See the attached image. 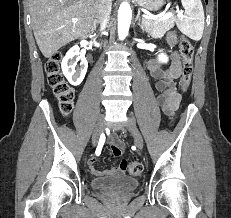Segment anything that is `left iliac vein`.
Segmentation results:
<instances>
[{"instance_id": "obj_1", "label": "left iliac vein", "mask_w": 231, "mask_h": 218, "mask_svg": "<svg viewBox=\"0 0 231 218\" xmlns=\"http://www.w3.org/2000/svg\"><path fill=\"white\" fill-rule=\"evenodd\" d=\"M127 130L133 135L135 139V145L137 148L142 151L143 149V139L142 136L136 126L135 120L133 118L129 119L126 123Z\"/></svg>"}]
</instances>
